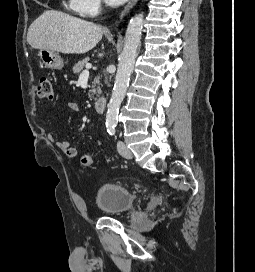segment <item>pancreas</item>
Returning a JSON list of instances; mask_svg holds the SVG:
<instances>
[{
  "mask_svg": "<svg viewBox=\"0 0 255 272\" xmlns=\"http://www.w3.org/2000/svg\"><path fill=\"white\" fill-rule=\"evenodd\" d=\"M89 64V58H85L82 61H79L76 65H74L73 67V72L75 74H79L83 71V68ZM101 93V89H100V77L97 76L94 78L93 82H92V89L89 91V98L92 100L94 99V95L96 94H100Z\"/></svg>",
  "mask_w": 255,
  "mask_h": 272,
  "instance_id": "pancreas-1",
  "label": "pancreas"
}]
</instances>
